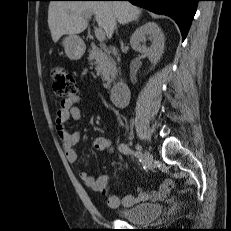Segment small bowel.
I'll use <instances>...</instances> for the list:
<instances>
[{
  "mask_svg": "<svg viewBox=\"0 0 231 231\" xmlns=\"http://www.w3.org/2000/svg\"><path fill=\"white\" fill-rule=\"evenodd\" d=\"M79 100L80 97L78 95L63 100L56 114V133L62 142L66 159L70 163L77 161L78 156L74 146L80 140L81 135L77 131L71 132L67 123L70 120L77 121L81 118V111L76 106ZM92 147L97 151L111 152L113 149L111 140L104 136L95 137L92 140ZM79 177L91 190L106 195L107 203L110 207H118L120 205L128 207L145 200H162L168 196L174 185L172 179H165L155 191L146 192L139 190L137 196H120L110 193L108 187L109 177L107 175L93 177L85 171H80Z\"/></svg>",
  "mask_w": 231,
  "mask_h": 231,
  "instance_id": "c3829d8e",
  "label": "small bowel"
}]
</instances>
